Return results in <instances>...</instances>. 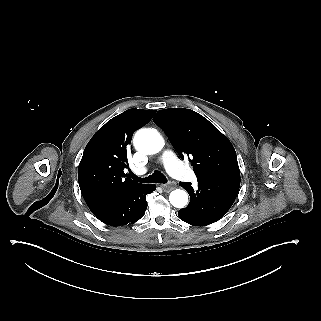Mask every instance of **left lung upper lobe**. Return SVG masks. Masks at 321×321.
I'll use <instances>...</instances> for the list:
<instances>
[{
    "label": "left lung upper lobe",
    "mask_w": 321,
    "mask_h": 321,
    "mask_svg": "<svg viewBox=\"0 0 321 321\" xmlns=\"http://www.w3.org/2000/svg\"><path fill=\"white\" fill-rule=\"evenodd\" d=\"M153 121L181 159L187 155L197 177L240 173L234 147L211 122L190 109L159 110Z\"/></svg>",
    "instance_id": "obj_1"
}]
</instances>
